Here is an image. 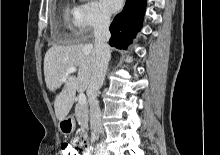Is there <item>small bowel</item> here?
I'll use <instances>...</instances> for the list:
<instances>
[{"label":"small bowel","mask_w":220,"mask_h":155,"mask_svg":"<svg viewBox=\"0 0 220 155\" xmlns=\"http://www.w3.org/2000/svg\"><path fill=\"white\" fill-rule=\"evenodd\" d=\"M63 144L64 145H76V144H78V145H88L89 141L86 140L85 136H76V139L73 137L70 140H64Z\"/></svg>","instance_id":"obj_1"}]
</instances>
